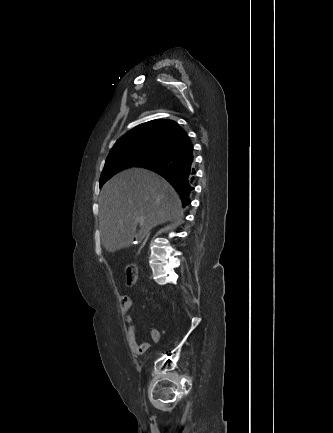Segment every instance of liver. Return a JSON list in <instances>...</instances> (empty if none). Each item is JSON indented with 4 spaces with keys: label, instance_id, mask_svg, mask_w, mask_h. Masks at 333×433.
I'll list each match as a JSON object with an SVG mask.
<instances>
[{
    "label": "liver",
    "instance_id": "liver-1",
    "mask_svg": "<svg viewBox=\"0 0 333 433\" xmlns=\"http://www.w3.org/2000/svg\"><path fill=\"white\" fill-rule=\"evenodd\" d=\"M181 204L174 188L158 174L143 168L121 171L101 190L99 225L104 248L114 253L131 246L138 224L142 238H147L154 226L181 221Z\"/></svg>",
    "mask_w": 333,
    "mask_h": 433
}]
</instances>
